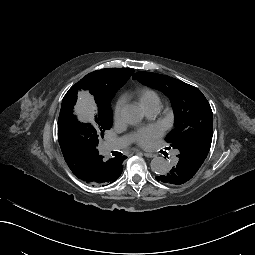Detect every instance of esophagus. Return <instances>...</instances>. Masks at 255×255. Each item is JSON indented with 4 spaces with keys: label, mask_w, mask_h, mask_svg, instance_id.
<instances>
[{
    "label": "esophagus",
    "mask_w": 255,
    "mask_h": 255,
    "mask_svg": "<svg viewBox=\"0 0 255 255\" xmlns=\"http://www.w3.org/2000/svg\"><path fill=\"white\" fill-rule=\"evenodd\" d=\"M144 156H145V157H150V158H152V157H154L155 155L152 154V153H144Z\"/></svg>",
    "instance_id": "1"
}]
</instances>
